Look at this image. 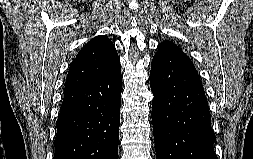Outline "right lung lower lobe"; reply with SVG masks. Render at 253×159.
<instances>
[{
    "label": "right lung lower lobe",
    "instance_id": "right-lung-lower-lobe-1",
    "mask_svg": "<svg viewBox=\"0 0 253 159\" xmlns=\"http://www.w3.org/2000/svg\"><path fill=\"white\" fill-rule=\"evenodd\" d=\"M120 64L64 93L53 159H117L121 105Z\"/></svg>",
    "mask_w": 253,
    "mask_h": 159
}]
</instances>
